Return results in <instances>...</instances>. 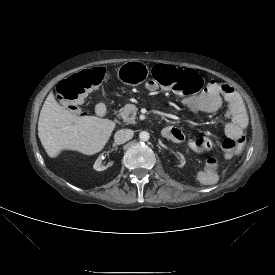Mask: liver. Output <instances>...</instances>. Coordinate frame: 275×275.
<instances>
[{
  "mask_svg": "<svg viewBox=\"0 0 275 275\" xmlns=\"http://www.w3.org/2000/svg\"><path fill=\"white\" fill-rule=\"evenodd\" d=\"M115 123L95 116H82L61 106L51 92L47 96L38 120V136L51 158L63 150L85 155L100 152L108 142Z\"/></svg>",
  "mask_w": 275,
  "mask_h": 275,
  "instance_id": "liver-1",
  "label": "liver"
}]
</instances>
